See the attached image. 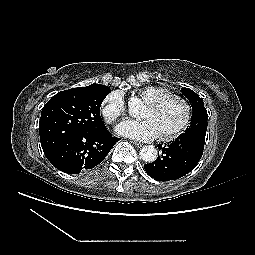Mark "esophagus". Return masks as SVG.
<instances>
[{"instance_id": "esophagus-1", "label": "esophagus", "mask_w": 255, "mask_h": 255, "mask_svg": "<svg viewBox=\"0 0 255 255\" xmlns=\"http://www.w3.org/2000/svg\"><path fill=\"white\" fill-rule=\"evenodd\" d=\"M131 143H132L133 145H135L136 147H138V148H140V147H142V146H143V144H142V143H140V142L131 141Z\"/></svg>"}]
</instances>
